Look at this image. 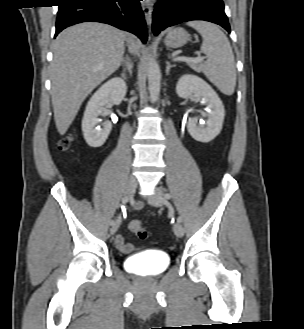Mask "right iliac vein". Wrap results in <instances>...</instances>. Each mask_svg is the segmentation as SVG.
<instances>
[{
	"mask_svg": "<svg viewBox=\"0 0 304 329\" xmlns=\"http://www.w3.org/2000/svg\"><path fill=\"white\" fill-rule=\"evenodd\" d=\"M136 188H137V181L134 178H129L125 185V195L129 198L132 197ZM120 222H121L120 218H117L115 224H113L110 229L111 234H114L118 230Z\"/></svg>",
	"mask_w": 304,
	"mask_h": 329,
	"instance_id": "right-iliac-vein-1",
	"label": "right iliac vein"
}]
</instances>
